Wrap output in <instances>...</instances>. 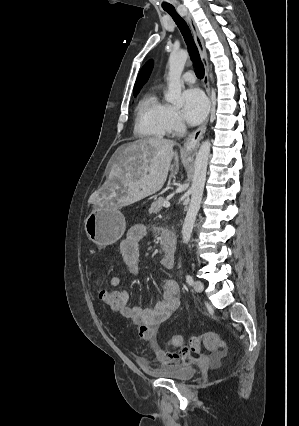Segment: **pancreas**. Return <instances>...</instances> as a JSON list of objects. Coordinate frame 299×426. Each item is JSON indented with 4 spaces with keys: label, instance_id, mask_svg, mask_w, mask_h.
<instances>
[{
    "label": "pancreas",
    "instance_id": "pancreas-1",
    "mask_svg": "<svg viewBox=\"0 0 299 426\" xmlns=\"http://www.w3.org/2000/svg\"><path fill=\"white\" fill-rule=\"evenodd\" d=\"M166 200L164 199V198H162V197H160V198H158V200H156V201H154L152 204H151V207H150V209H149V213H153V214H157V213H159L160 212V210H161V208H162V206H163V203L165 202Z\"/></svg>",
    "mask_w": 299,
    "mask_h": 426
}]
</instances>
